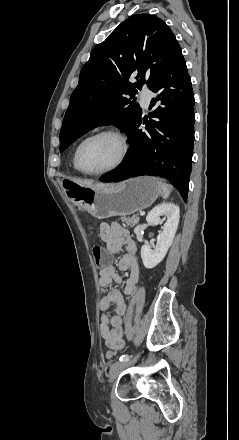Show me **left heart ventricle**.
Returning <instances> with one entry per match:
<instances>
[{"instance_id": "1", "label": "left heart ventricle", "mask_w": 239, "mask_h": 440, "mask_svg": "<svg viewBox=\"0 0 239 440\" xmlns=\"http://www.w3.org/2000/svg\"><path fill=\"white\" fill-rule=\"evenodd\" d=\"M120 155V144L112 136H100L88 141L80 154L81 167L98 172L113 166Z\"/></svg>"}]
</instances>
